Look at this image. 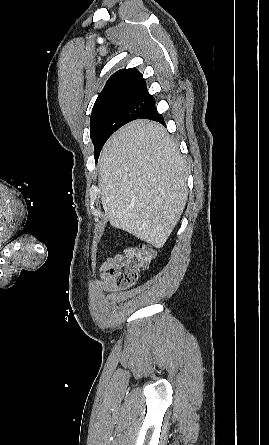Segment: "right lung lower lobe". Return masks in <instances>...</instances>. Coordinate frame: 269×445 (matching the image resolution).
<instances>
[{"mask_svg": "<svg viewBox=\"0 0 269 445\" xmlns=\"http://www.w3.org/2000/svg\"><path fill=\"white\" fill-rule=\"evenodd\" d=\"M139 118H147L154 121H159L160 123H163V117L157 112V109L155 107V102L145 111V113L139 117Z\"/></svg>", "mask_w": 269, "mask_h": 445, "instance_id": "98d812e1", "label": "right lung lower lobe"}]
</instances>
